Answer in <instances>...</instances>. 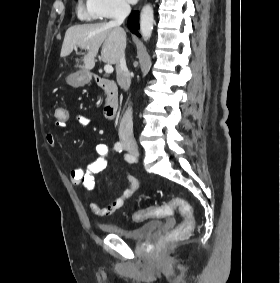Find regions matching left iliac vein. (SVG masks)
<instances>
[{"label":"left iliac vein","mask_w":280,"mask_h":283,"mask_svg":"<svg viewBox=\"0 0 280 283\" xmlns=\"http://www.w3.org/2000/svg\"><path fill=\"white\" fill-rule=\"evenodd\" d=\"M129 152L131 154L132 161H135L139 155L138 150H130Z\"/></svg>","instance_id":"left-iliac-vein-1"}]
</instances>
